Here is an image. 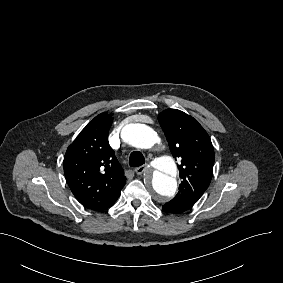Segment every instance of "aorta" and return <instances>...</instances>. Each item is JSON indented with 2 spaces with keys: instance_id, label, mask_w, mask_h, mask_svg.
<instances>
[{
  "instance_id": "aorta-1",
  "label": "aorta",
  "mask_w": 283,
  "mask_h": 283,
  "mask_svg": "<svg viewBox=\"0 0 283 283\" xmlns=\"http://www.w3.org/2000/svg\"><path fill=\"white\" fill-rule=\"evenodd\" d=\"M122 138L128 144L141 149H150L160 142L157 133L145 124H129L122 130ZM156 170L147 181L148 185L160 196L173 197L177 190L176 164L171 156L155 160Z\"/></svg>"
}]
</instances>
